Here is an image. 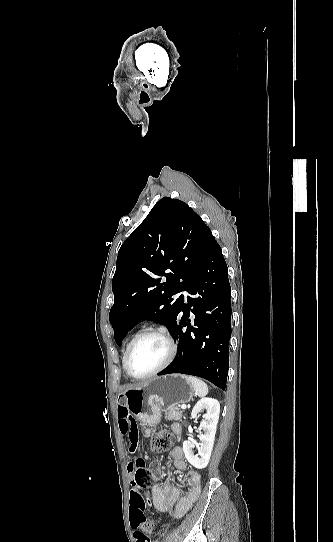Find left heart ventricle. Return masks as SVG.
Listing matches in <instances>:
<instances>
[{"label":"left heart ventricle","instance_id":"1","mask_svg":"<svg viewBox=\"0 0 333 542\" xmlns=\"http://www.w3.org/2000/svg\"><path fill=\"white\" fill-rule=\"evenodd\" d=\"M167 346L156 336H147L141 339L133 348L129 358V370L135 376L145 375L165 360Z\"/></svg>","mask_w":333,"mask_h":542}]
</instances>
